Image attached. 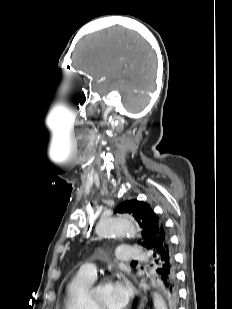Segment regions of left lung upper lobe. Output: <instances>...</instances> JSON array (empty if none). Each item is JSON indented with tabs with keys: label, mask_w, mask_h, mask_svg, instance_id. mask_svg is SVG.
Instances as JSON below:
<instances>
[{
	"label": "left lung upper lobe",
	"mask_w": 232,
	"mask_h": 309,
	"mask_svg": "<svg viewBox=\"0 0 232 309\" xmlns=\"http://www.w3.org/2000/svg\"><path fill=\"white\" fill-rule=\"evenodd\" d=\"M119 213H128L138 222L142 239L138 244L144 247L149 253L153 250L159 239L161 232L168 236L161 219L150 208L149 204L136 199L125 201L120 204L114 211ZM175 294V292H174ZM167 306L168 300L165 298Z\"/></svg>",
	"instance_id": "1"
}]
</instances>
